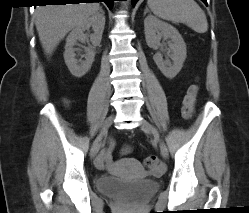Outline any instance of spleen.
<instances>
[{
  "instance_id": "3e777b00",
  "label": "spleen",
  "mask_w": 249,
  "mask_h": 213,
  "mask_svg": "<svg viewBox=\"0 0 249 213\" xmlns=\"http://www.w3.org/2000/svg\"><path fill=\"white\" fill-rule=\"evenodd\" d=\"M147 4L164 20L185 23L197 33L208 29L206 15L194 0H148Z\"/></svg>"
}]
</instances>
